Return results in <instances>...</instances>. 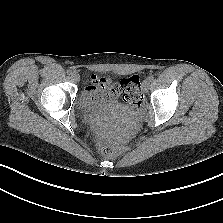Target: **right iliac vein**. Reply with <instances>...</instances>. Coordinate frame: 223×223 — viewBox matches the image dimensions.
Wrapping results in <instances>:
<instances>
[{
  "label": "right iliac vein",
  "instance_id": "1",
  "mask_svg": "<svg viewBox=\"0 0 223 223\" xmlns=\"http://www.w3.org/2000/svg\"><path fill=\"white\" fill-rule=\"evenodd\" d=\"M72 78L74 81L78 82L80 80V75L75 71L72 73Z\"/></svg>",
  "mask_w": 223,
  "mask_h": 223
}]
</instances>
